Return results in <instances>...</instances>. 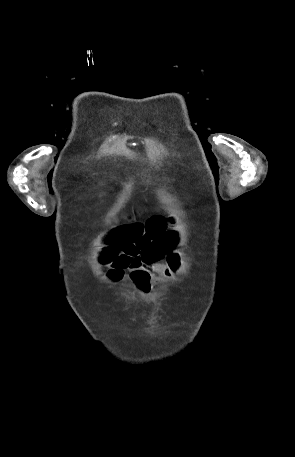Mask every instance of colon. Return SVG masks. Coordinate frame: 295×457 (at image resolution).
I'll list each match as a JSON object with an SVG mask.
<instances>
[{
	"label": "colon",
	"mask_w": 295,
	"mask_h": 457,
	"mask_svg": "<svg viewBox=\"0 0 295 457\" xmlns=\"http://www.w3.org/2000/svg\"><path fill=\"white\" fill-rule=\"evenodd\" d=\"M138 252L135 247H128L122 253L106 258L105 262L111 265L110 274L120 277L125 270L138 266L139 262L136 259Z\"/></svg>",
	"instance_id": "colon-1"
}]
</instances>
